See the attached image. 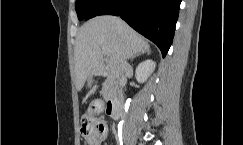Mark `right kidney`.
<instances>
[{"label":"right kidney","mask_w":243,"mask_h":145,"mask_svg":"<svg viewBox=\"0 0 243 145\" xmlns=\"http://www.w3.org/2000/svg\"><path fill=\"white\" fill-rule=\"evenodd\" d=\"M156 67V63L153 60H145L141 62L135 71L136 80L139 83H144L148 77L152 74Z\"/></svg>","instance_id":"1"}]
</instances>
